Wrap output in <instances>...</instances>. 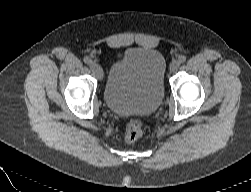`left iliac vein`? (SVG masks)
I'll return each mask as SVG.
<instances>
[{
    "instance_id": "1",
    "label": "left iliac vein",
    "mask_w": 251,
    "mask_h": 192,
    "mask_svg": "<svg viewBox=\"0 0 251 192\" xmlns=\"http://www.w3.org/2000/svg\"><path fill=\"white\" fill-rule=\"evenodd\" d=\"M180 63L178 61H173L171 64H170V71L171 72H175L178 67H179Z\"/></svg>"
}]
</instances>
